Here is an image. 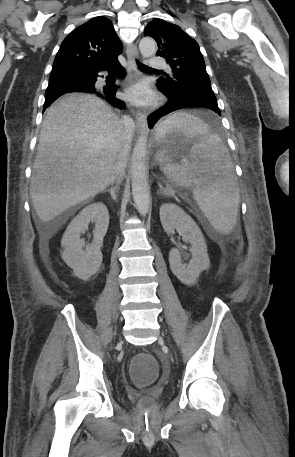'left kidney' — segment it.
Here are the masks:
<instances>
[{
  "label": "left kidney",
  "instance_id": "obj_1",
  "mask_svg": "<svg viewBox=\"0 0 295 457\" xmlns=\"http://www.w3.org/2000/svg\"><path fill=\"white\" fill-rule=\"evenodd\" d=\"M161 224L168 235L175 229L181 231L182 239L191 245L192 260L185 266L181 261L178 249L169 253V264L173 274L185 285L192 286L197 282L200 273L210 265L204 236L195 221L179 206L163 204L160 208Z\"/></svg>",
  "mask_w": 295,
  "mask_h": 457
}]
</instances>
